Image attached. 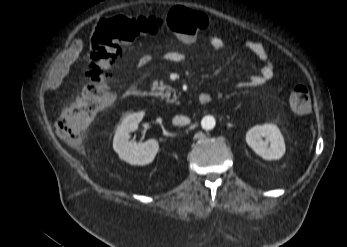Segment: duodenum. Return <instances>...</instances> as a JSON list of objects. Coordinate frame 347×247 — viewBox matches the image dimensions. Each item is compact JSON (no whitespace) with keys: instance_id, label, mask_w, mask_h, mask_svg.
Here are the masks:
<instances>
[{"instance_id":"1","label":"duodenum","mask_w":347,"mask_h":247,"mask_svg":"<svg viewBox=\"0 0 347 247\" xmlns=\"http://www.w3.org/2000/svg\"><path fill=\"white\" fill-rule=\"evenodd\" d=\"M150 94V92L146 89H140L136 87H132L128 90V95L129 96H134V97H146ZM211 101V95L208 93H202L198 97V102L200 104H207Z\"/></svg>"}]
</instances>
